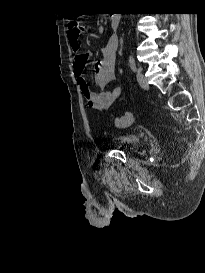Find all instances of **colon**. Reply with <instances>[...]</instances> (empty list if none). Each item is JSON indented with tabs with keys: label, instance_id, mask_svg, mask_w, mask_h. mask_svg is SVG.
Returning <instances> with one entry per match:
<instances>
[{
	"label": "colon",
	"instance_id": "obj_1",
	"mask_svg": "<svg viewBox=\"0 0 205 273\" xmlns=\"http://www.w3.org/2000/svg\"><path fill=\"white\" fill-rule=\"evenodd\" d=\"M82 26L80 24H76L75 26H70V34L78 35L81 32ZM133 122V114L130 111L125 112L122 116H120L116 120V124L121 127H126L131 125Z\"/></svg>",
	"mask_w": 205,
	"mask_h": 273
}]
</instances>
